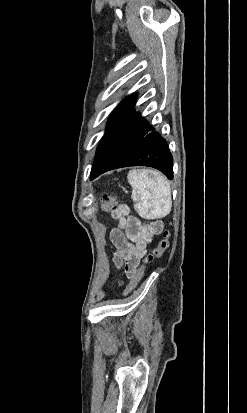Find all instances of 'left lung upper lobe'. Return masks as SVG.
<instances>
[{
  "instance_id": "obj_1",
  "label": "left lung upper lobe",
  "mask_w": 247,
  "mask_h": 413,
  "mask_svg": "<svg viewBox=\"0 0 247 413\" xmlns=\"http://www.w3.org/2000/svg\"><path fill=\"white\" fill-rule=\"evenodd\" d=\"M136 95L127 97L119 107H117L109 120L107 130L113 126L119 119H121L135 104Z\"/></svg>"
}]
</instances>
